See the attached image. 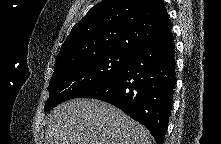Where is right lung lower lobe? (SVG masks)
<instances>
[{
  "label": "right lung lower lobe",
  "instance_id": "1",
  "mask_svg": "<svg viewBox=\"0 0 221 144\" xmlns=\"http://www.w3.org/2000/svg\"><path fill=\"white\" fill-rule=\"evenodd\" d=\"M175 84V49L170 32L137 51L117 74L80 97L118 107L148 128L157 144H163Z\"/></svg>",
  "mask_w": 221,
  "mask_h": 144
}]
</instances>
